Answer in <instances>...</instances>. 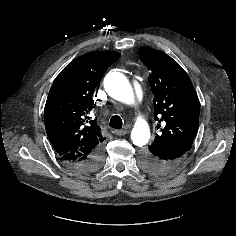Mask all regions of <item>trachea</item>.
<instances>
[{
	"label": "trachea",
	"mask_w": 236,
	"mask_h": 236,
	"mask_svg": "<svg viewBox=\"0 0 236 236\" xmlns=\"http://www.w3.org/2000/svg\"><path fill=\"white\" fill-rule=\"evenodd\" d=\"M122 125H123V122H122V119L120 118V116L115 115V116L111 117L110 123H109V126L111 128L121 129Z\"/></svg>",
	"instance_id": "3493384b"
}]
</instances>
